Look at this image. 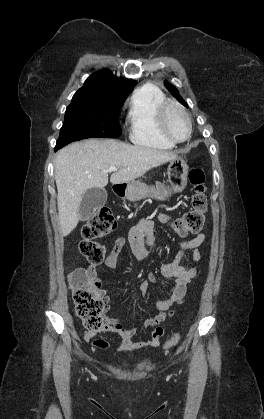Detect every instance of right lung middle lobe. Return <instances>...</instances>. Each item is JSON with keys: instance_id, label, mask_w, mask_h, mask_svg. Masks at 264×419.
<instances>
[{"instance_id": "obj_1", "label": "right lung middle lobe", "mask_w": 264, "mask_h": 419, "mask_svg": "<svg viewBox=\"0 0 264 419\" xmlns=\"http://www.w3.org/2000/svg\"><path fill=\"white\" fill-rule=\"evenodd\" d=\"M127 97L78 90L65 112L56 148L86 138H117L120 109Z\"/></svg>"}]
</instances>
